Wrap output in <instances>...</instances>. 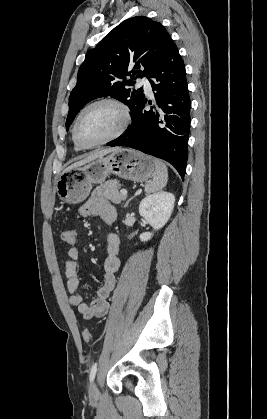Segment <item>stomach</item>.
I'll return each mask as SVG.
<instances>
[{"mask_svg":"<svg viewBox=\"0 0 267 419\" xmlns=\"http://www.w3.org/2000/svg\"><path fill=\"white\" fill-rule=\"evenodd\" d=\"M155 172L152 157L141 152L118 148L83 166L65 170L56 183L59 198L69 204L84 201L93 184L101 183L110 174L134 182H145Z\"/></svg>","mask_w":267,"mask_h":419,"instance_id":"stomach-1","label":"stomach"}]
</instances>
